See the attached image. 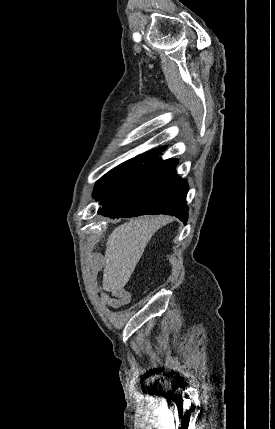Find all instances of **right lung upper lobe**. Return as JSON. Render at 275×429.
Instances as JSON below:
<instances>
[{"label":"right lung upper lobe","mask_w":275,"mask_h":429,"mask_svg":"<svg viewBox=\"0 0 275 429\" xmlns=\"http://www.w3.org/2000/svg\"><path fill=\"white\" fill-rule=\"evenodd\" d=\"M165 149V147H162V148H158V149H155V150H152L151 152H149V153H145V154H141V155H139V156H137V157H143V158H148V159H151V160H153L154 158H156L163 150Z\"/></svg>","instance_id":"1"}]
</instances>
